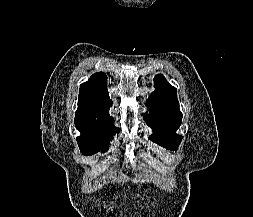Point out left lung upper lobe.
<instances>
[{
	"label": "left lung upper lobe",
	"mask_w": 253,
	"mask_h": 217,
	"mask_svg": "<svg viewBox=\"0 0 253 217\" xmlns=\"http://www.w3.org/2000/svg\"><path fill=\"white\" fill-rule=\"evenodd\" d=\"M156 90L146 101L149 114L144 116L154 132L149 139L169 150H177L182 136L176 130L182 123L177 89L166 82L162 75L154 78Z\"/></svg>",
	"instance_id": "left-lung-upper-lobe-1"
}]
</instances>
